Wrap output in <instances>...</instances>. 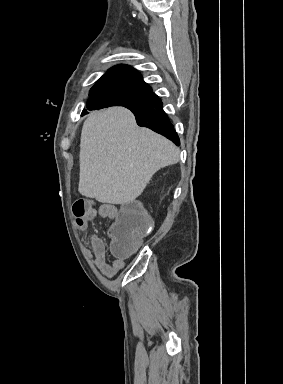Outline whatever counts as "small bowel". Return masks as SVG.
<instances>
[{"mask_svg":"<svg viewBox=\"0 0 283 384\" xmlns=\"http://www.w3.org/2000/svg\"><path fill=\"white\" fill-rule=\"evenodd\" d=\"M119 211L112 204H101L98 208L91 207L85 216L76 222L78 229L88 230L93 221L101 216L103 218L114 220ZM90 250H86V256L93 264L107 277H112L125 267V259L113 255V259L107 260V247L104 240L98 235H90Z\"/></svg>","mask_w":283,"mask_h":384,"instance_id":"obj_1","label":"small bowel"}]
</instances>
